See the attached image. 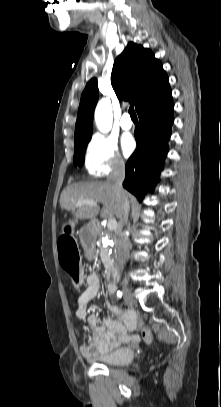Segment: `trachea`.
Returning a JSON list of instances; mask_svg holds the SVG:
<instances>
[{
    "instance_id": "1",
    "label": "trachea",
    "mask_w": 221,
    "mask_h": 407,
    "mask_svg": "<svg viewBox=\"0 0 221 407\" xmlns=\"http://www.w3.org/2000/svg\"><path fill=\"white\" fill-rule=\"evenodd\" d=\"M129 114L131 117H137L133 106L129 107Z\"/></svg>"
}]
</instances>
